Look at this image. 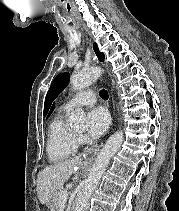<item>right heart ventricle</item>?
Returning <instances> with one entry per match:
<instances>
[{"label": "right heart ventricle", "mask_w": 179, "mask_h": 211, "mask_svg": "<svg viewBox=\"0 0 179 211\" xmlns=\"http://www.w3.org/2000/svg\"><path fill=\"white\" fill-rule=\"evenodd\" d=\"M74 130L65 120V110L51 120L47 135V155L52 163H62L73 157L78 148Z\"/></svg>", "instance_id": "1"}]
</instances>
